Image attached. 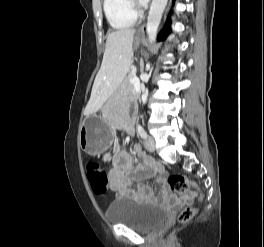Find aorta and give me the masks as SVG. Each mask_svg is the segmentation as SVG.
I'll list each match as a JSON object with an SVG mask.
<instances>
[{"instance_id":"obj_1","label":"aorta","mask_w":264,"mask_h":247,"mask_svg":"<svg viewBox=\"0 0 264 247\" xmlns=\"http://www.w3.org/2000/svg\"><path fill=\"white\" fill-rule=\"evenodd\" d=\"M167 2L168 0H152L146 25V32L150 43L156 40L157 30Z\"/></svg>"}]
</instances>
